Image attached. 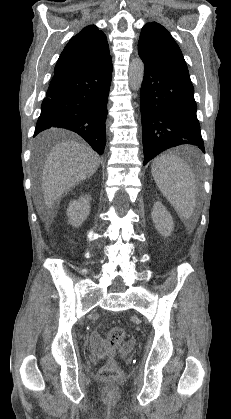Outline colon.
I'll list each match as a JSON object with an SVG mask.
<instances>
[{
  "instance_id": "1",
  "label": "colon",
  "mask_w": 231,
  "mask_h": 419,
  "mask_svg": "<svg viewBox=\"0 0 231 419\" xmlns=\"http://www.w3.org/2000/svg\"><path fill=\"white\" fill-rule=\"evenodd\" d=\"M125 338V332L120 326H113L106 337V346L110 355H112L122 344ZM120 374V369L113 358H110L107 363L99 371V376L102 380L108 383H113Z\"/></svg>"
}]
</instances>
